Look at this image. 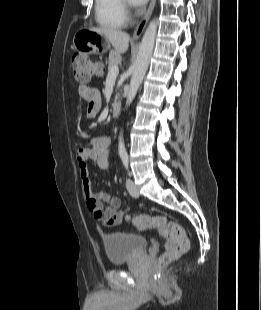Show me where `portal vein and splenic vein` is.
<instances>
[{
    "label": "portal vein and splenic vein",
    "mask_w": 261,
    "mask_h": 310,
    "mask_svg": "<svg viewBox=\"0 0 261 310\" xmlns=\"http://www.w3.org/2000/svg\"><path fill=\"white\" fill-rule=\"evenodd\" d=\"M118 73H119L118 66H113L108 71V77H117Z\"/></svg>",
    "instance_id": "obj_1"
}]
</instances>
